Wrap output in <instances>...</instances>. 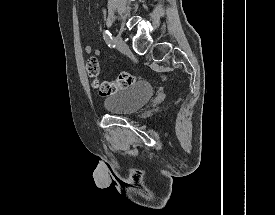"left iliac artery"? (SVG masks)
<instances>
[{
	"label": "left iliac artery",
	"instance_id": "1",
	"mask_svg": "<svg viewBox=\"0 0 275 215\" xmlns=\"http://www.w3.org/2000/svg\"><path fill=\"white\" fill-rule=\"evenodd\" d=\"M103 38L109 47H115V45L113 43L112 34L108 30H105L103 32Z\"/></svg>",
	"mask_w": 275,
	"mask_h": 215
}]
</instances>
